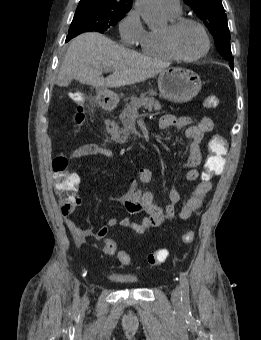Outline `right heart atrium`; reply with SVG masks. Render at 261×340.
<instances>
[{
    "instance_id": "obj_1",
    "label": "right heart atrium",
    "mask_w": 261,
    "mask_h": 340,
    "mask_svg": "<svg viewBox=\"0 0 261 340\" xmlns=\"http://www.w3.org/2000/svg\"><path fill=\"white\" fill-rule=\"evenodd\" d=\"M119 32L123 42L126 44L138 43L146 32L140 13L135 7L130 9L120 20Z\"/></svg>"
}]
</instances>
